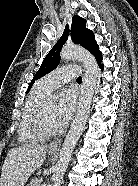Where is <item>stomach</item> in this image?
I'll use <instances>...</instances> for the list:
<instances>
[{
    "mask_svg": "<svg viewBox=\"0 0 138 186\" xmlns=\"http://www.w3.org/2000/svg\"><path fill=\"white\" fill-rule=\"evenodd\" d=\"M48 153H49L50 155H54V154L56 153V151H55V150H52V149H49Z\"/></svg>",
    "mask_w": 138,
    "mask_h": 186,
    "instance_id": "stomach-1",
    "label": "stomach"
}]
</instances>
